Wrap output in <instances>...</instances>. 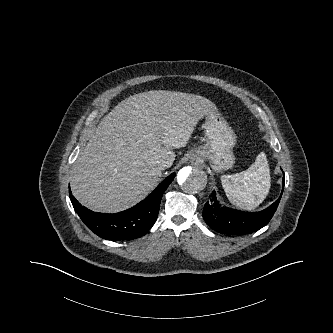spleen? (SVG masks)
Returning <instances> with one entry per match:
<instances>
[{
    "instance_id": "3e777b00",
    "label": "spleen",
    "mask_w": 333,
    "mask_h": 333,
    "mask_svg": "<svg viewBox=\"0 0 333 333\" xmlns=\"http://www.w3.org/2000/svg\"><path fill=\"white\" fill-rule=\"evenodd\" d=\"M270 182V168L264 152L257 155L255 163L246 171L221 176L229 201L244 210H253L265 200Z\"/></svg>"
}]
</instances>
